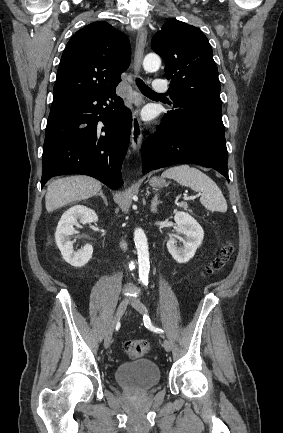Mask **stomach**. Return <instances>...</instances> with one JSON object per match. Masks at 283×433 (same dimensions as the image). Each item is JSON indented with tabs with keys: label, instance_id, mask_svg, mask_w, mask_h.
<instances>
[{
	"label": "stomach",
	"instance_id": "0dacf381",
	"mask_svg": "<svg viewBox=\"0 0 283 433\" xmlns=\"http://www.w3.org/2000/svg\"><path fill=\"white\" fill-rule=\"evenodd\" d=\"M151 186H164L165 180H161V178H157V176H153L150 180Z\"/></svg>",
	"mask_w": 283,
	"mask_h": 433
}]
</instances>
